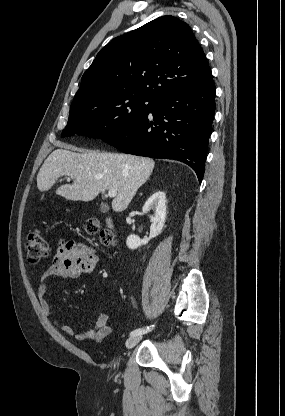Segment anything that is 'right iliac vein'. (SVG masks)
Wrapping results in <instances>:
<instances>
[{
	"label": "right iliac vein",
	"instance_id": "obj_1",
	"mask_svg": "<svg viewBox=\"0 0 285 416\" xmlns=\"http://www.w3.org/2000/svg\"><path fill=\"white\" fill-rule=\"evenodd\" d=\"M141 339H142V336L140 335L131 336L126 340L125 347L127 349H131L135 347L140 342Z\"/></svg>",
	"mask_w": 285,
	"mask_h": 416
}]
</instances>
